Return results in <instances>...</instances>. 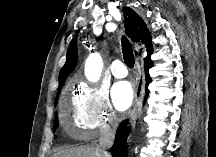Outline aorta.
<instances>
[{
  "instance_id": "1",
  "label": "aorta",
  "mask_w": 216,
  "mask_h": 157,
  "mask_svg": "<svg viewBox=\"0 0 216 157\" xmlns=\"http://www.w3.org/2000/svg\"><path fill=\"white\" fill-rule=\"evenodd\" d=\"M103 61L99 53L91 54L85 64V75L91 82L99 80L102 72Z\"/></svg>"
}]
</instances>
